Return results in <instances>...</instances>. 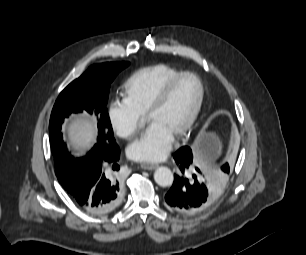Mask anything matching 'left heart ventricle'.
<instances>
[{
    "label": "left heart ventricle",
    "mask_w": 306,
    "mask_h": 255,
    "mask_svg": "<svg viewBox=\"0 0 306 255\" xmlns=\"http://www.w3.org/2000/svg\"><path fill=\"white\" fill-rule=\"evenodd\" d=\"M199 92L198 82L193 77L183 78L176 84L165 103L148 120L159 123L175 135L192 113Z\"/></svg>",
    "instance_id": "1"
}]
</instances>
